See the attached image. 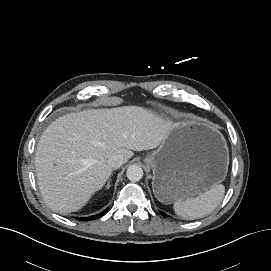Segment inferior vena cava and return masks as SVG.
<instances>
[{
  "mask_svg": "<svg viewBox=\"0 0 271 271\" xmlns=\"http://www.w3.org/2000/svg\"><path fill=\"white\" fill-rule=\"evenodd\" d=\"M124 163V157L122 155L116 154L108 159V164L111 168L117 169Z\"/></svg>",
  "mask_w": 271,
  "mask_h": 271,
  "instance_id": "obj_1",
  "label": "inferior vena cava"
}]
</instances>
